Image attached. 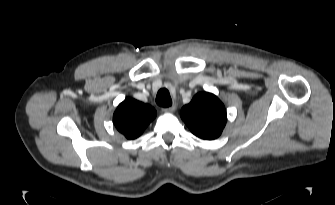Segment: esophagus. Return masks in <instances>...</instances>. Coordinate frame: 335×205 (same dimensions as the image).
<instances>
[{"instance_id": "34e87169", "label": "esophagus", "mask_w": 335, "mask_h": 205, "mask_svg": "<svg viewBox=\"0 0 335 205\" xmlns=\"http://www.w3.org/2000/svg\"><path fill=\"white\" fill-rule=\"evenodd\" d=\"M176 109V107L173 105V106H170V107H165V108H162V111L165 112V113H172L174 112Z\"/></svg>"}]
</instances>
